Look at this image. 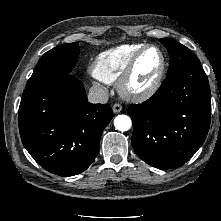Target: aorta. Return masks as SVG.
Returning a JSON list of instances; mask_svg holds the SVG:
<instances>
[{"instance_id":"aorta-1","label":"aorta","mask_w":221,"mask_h":221,"mask_svg":"<svg viewBox=\"0 0 221 221\" xmlns=\"http://www.w3.org/2000/svg\"><path fill=\"white\" fill-rule=\"evenodd\" d=\"M114 126L117 130L124 132L127 131L131 128L132 126V121L131 118L127 115H118L114 119Z\"/></svg>"}]
</instances>
